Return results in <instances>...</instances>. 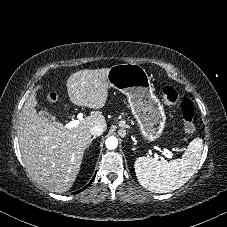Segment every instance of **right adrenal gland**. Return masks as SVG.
<instances>
[{"mask_svg":"<svg viewBox=\"0 0 227 227\" xmlns=\"http://www.w3.org/2000/svg\"><path fill=\"white\" fill-rule=\"evenodd\" d=\"M94 139H95V137H93V138L91 139V142H92ZM91 142H90V144H91ZM90 144L88 145V147L90 146Z\"/></svg>","mask_w":227,"mask_h":227,"instance_id":"2a0ac1e0","label":"right adrenal gland"}]
</instances>
